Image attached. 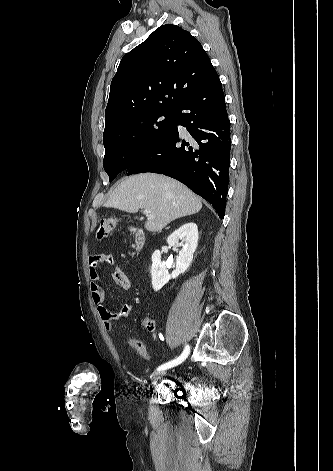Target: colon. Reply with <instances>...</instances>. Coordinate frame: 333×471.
I'll return each mask as SVG.
<instances>
[{
    "instance_id": "obj_1",
    "label": "colon",
    "mask_w": 333,
    "mask_h": 471,
    "mask_svg": "<svg viewBox=\"0 0 333 471\" xmlns=\"http://www.w3.org/2000/svg\"><path fill=\"white\" fill-rule=\"evenodd\" d=\"M120 223V218L118 217H109L102 219L99 223V226L96 230V236L98 239H103L108 236L114 228ZM147 327L152 330L154 325L152 322H147ZM125 343L134 349L140 356L147 359L149 357V352L145 344L136 338H126Z\"/></svg>"
}]
</instances>
